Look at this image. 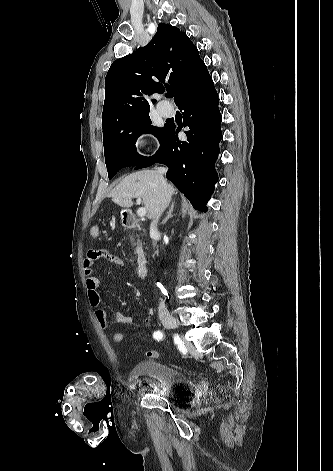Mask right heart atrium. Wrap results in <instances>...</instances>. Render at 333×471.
I'll use <instances>...</instances> for the list:
<instances>
[{
  "label": "right heart atrium",
  "mask_w": 333,
  "mask_h": 471,
  "mask_svg": "<svg viewBox=\"0 0 333 471\" xmlns=\"http://www.w3.org/2000/svg\"><path fill=\"white\" fill-rule=\"evenodd\" d=\"M141 144H142L141 139H140V138H136L135 141H134V145H135L136 147H139V146H141Z\"/></svg>",
  "instance_id": "right-heart-atrium-1"
}]
</instances>
